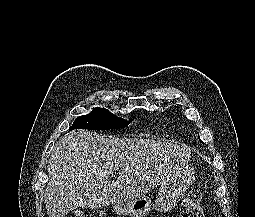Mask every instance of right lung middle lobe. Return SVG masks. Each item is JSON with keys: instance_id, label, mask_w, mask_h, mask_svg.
Instances as JSON below:
<instances>
[{"instance_id": "obj_1", "label": "right lung middle lobe", "mask_w": 255, "mask_h": 217, "mask_svg": "<svg viewBox=\"0 0 255 217\" xmlns=\"http://www.w3.org/2000/svg\"><path fill=\"white\" fill-rule=\"evenodd\" d=\"M128 125L127 120L119 118L104 108H95L90 114L79 116L72 129L109 130Z\"/></svg>"}]
</instances>
